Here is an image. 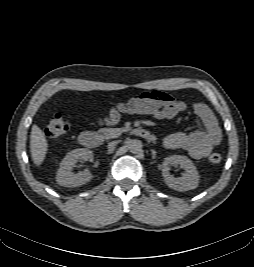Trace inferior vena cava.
<instances>
[{
    "label": "inferior vena cava",
    "instance_id": "602c4592",
    "mask_svg": "<svg viewBox=\"0 0 254 267\" xmlns=\"http://www.w3.org/2000/svg\"><path fill=\"white\" fill-rule=\"evenodd\" d=\"M117 144V142L113 141L108 144V148H112Z\"/></svg>",
    "mask_w": 254,
    "mask_h": 267
}]
</instances>
